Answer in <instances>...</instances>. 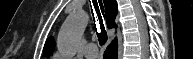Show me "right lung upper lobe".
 I'll return each mask as SVG.
<instances>
[{
  "label": "right lung upper lobe",
  "instance_id": "right-lung-upper-lobe-1",
  "mask_svg": "<svg viewBox=\"0 0 193 59\" xmlns=\"http://www.w3.org/2000/svg\"><path fill=\"white\" fill-rule=\"evenodd\" d=\"M105 15L108 28L116 27L115 17L117 15V3L115 0H104ZM54 49V40L49 37L44 45L43 53L45 56L52 54Z\"/></svg>",
  "mask_w": 193,
  "mask_h": 59
}]
</instances>
